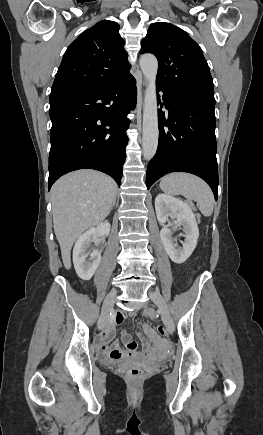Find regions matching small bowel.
Instances as JSON below:
<instances>
[{"label":"small bowel","instance_id":"c3829d8e","mask_svg":"<svg viewBox=\"0 0 263 435\" xmlns=\"http://www.w3.org/2000/svg\"><path fill=\"white\" fill-rule=\"evenodd\" d=\"M125 317L126 315L124 312H117L113 320L108 323L105 332L97 339L96 346L104 357L117 360L123 357H138L140 355L137 352V343L132 340L127 332H122L121 334V340L126 345L125 349L121 348L118 340H114L116 335L115 326L121 324ZM145 332L148 340H151V343L149 346L147 342L143 341L144 352L151 356H155L158 361H161L164 358L162 334L153 331L149 326H145Z\"/></svg>","mask_w":263,"mask_h":435}]
</instances>
